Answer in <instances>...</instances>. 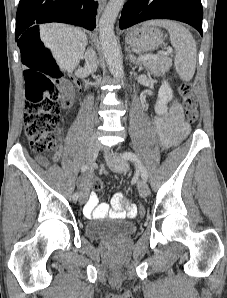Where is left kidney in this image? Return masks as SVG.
I'll use <instances>...</instances> for the list:
<instances>
[{"label":"left kidney","mask_w":227,"mask_h":298,"mask_svg":"<svg viewBox=\"0 0 227 298\" xmlns=\"http://www.w3.org/2000/svg\"><path fill=\"white\" fill-rule=\"evenodd\" d=\"M173 98V91L167 81H163L158 91V100L154 106L157 114H164L167 111V104Z\"/></svg>","instance_id":"1"}]
</instances>
